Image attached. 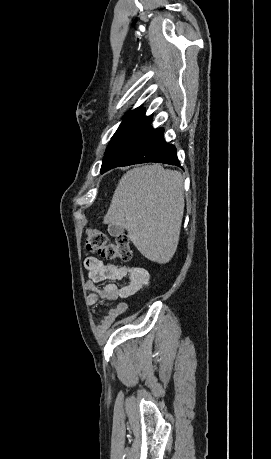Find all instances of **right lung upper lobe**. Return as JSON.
Masks as SVG:
<instances>
[{
	"label": "right lung upper lobe",
	"instance_id": "1",
	"mask_svg": "<svg viewBox=\"0 0 271 459\" xmlns=\"http://www.w3.org/2000/svg\"><path fill=\"white\" fill-rule=\"evenodd\" d=\"M137 111H142V112H144V109H143L142 107H138V108H136L135 110H133L132 112H137Z\"/></svg>",
	"mask_w": 271,
	"mask_h": 459
}]
</instances>
